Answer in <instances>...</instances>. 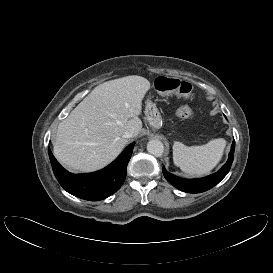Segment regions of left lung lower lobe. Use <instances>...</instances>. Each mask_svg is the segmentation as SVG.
Returning a JSON list of instances; mask_svg holds the SVG:
<instances>
[{
	"mask_svg": "<svg viewBox=\"0 0 273 273\" xmlns=\"http://www.w3.org/2000/svg\"><path fill=\"white\" fill-rule=\"evenodd\" d=\"M234 149H235V141H233L231 146V151L229 154V158L227 162L223 165V167L216 173L211 174L204 178L199 179H184L172 175L167 172L163 167V174L167 181L171 183L177 189L187 192V193H201L207 191L218 184L229 172L231 168V164L234 159Z\"/></svg>",
	"mask_w": 273,
	"mask_h": 273,
	"instance_id": "1",
	"label": "left lung lower lobe"
}]
</instances>
